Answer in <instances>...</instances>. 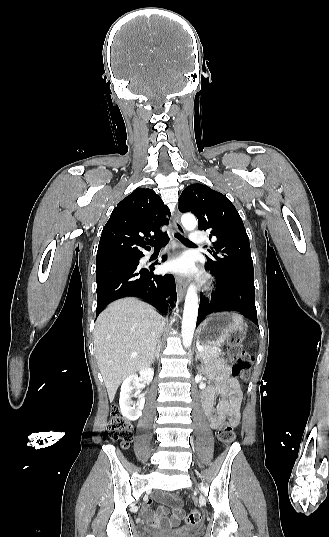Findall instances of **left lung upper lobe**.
Segmentation results:
<instances>
[{"mask_svg":"<svg viewBox=\"0 0 329 537\" xmlns=\"http://www.w3.org/2000/svg\"><path fill=\"white\" fill-rule=\"evenodd\" d=\"M179 208L196 215L198 229L209 230V237L216 238L215 250L206 255L212 273L224 278L254 280L249 238L238 211L226 196L195 183L182 192Z\"/></svg>","mask_w":329,"mask_h":537,"instance_id":"obj_1","label":"left lung upper lobe"}]
</instances>
